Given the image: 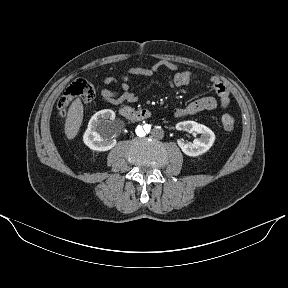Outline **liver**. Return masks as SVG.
Masks as SVG:
<instances>
[{"label":"liver","mask_w":288,"mask_h":288,"mask_svg":"<svg viewBox=\"0 0 288 288\" xmlns=\"http://www.w3.org/2000/svg\"><path fill=\"white\" fill-rule=\"evenodd\" d=\"M83 110V104L80 99L74 100L68 109L65 121V134L70 140L73 139L79 131L83 120Z\"/></svg>","instance_id":"obj_1"}]
</instances>
